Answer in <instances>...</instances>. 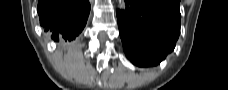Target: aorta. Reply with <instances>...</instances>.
Instances as JSON below:
<instances>
[{
    "instance_id": "762f6f07",
    "label": "aorta",
    "mask_w": 228,
    "mask_h": 90,
    "mask_svg": "<svg viewBox=\"0 0 228 90\" xmlns=\"http://www.w3.org/2000/svg\"><path fill=\"white\" fill-rule=\"evenodd\" d=\"M120 2L124 3V1H123V0H120Z\"/></svg>"
}]
</instances>
